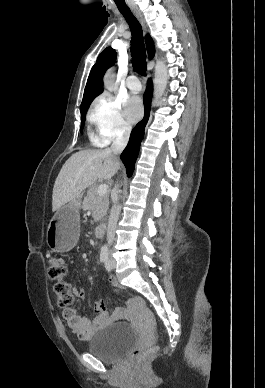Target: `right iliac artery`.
Instances as JSON below:
<instances>
[{
    "label": "right iliac artery",
    "mask_w": 265,
    "mask_h": 388,
    "mask_svg": "<svg viewBox=\"0 0 265 388\" xmlns=\"http://www.w3.org/2000/svg\"><path fill=\"white\" fill-rule=\"evenodd\" d=\"M100 261L107 265L108 263V248L103 246L100 253Z\"/></svg>",
    "instance_id": "82829eb1"
}]
</instances>
